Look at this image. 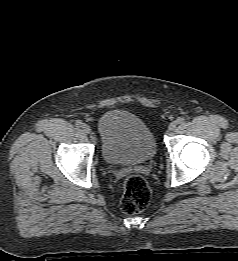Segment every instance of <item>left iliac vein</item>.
I'll return each instance as SVG.
<instances>
[{"label": "left iliac vein", "instance_id": "left-iliac-vein-1", "mask_svg": "<svg viewBox=\"0 0 238 261\" xmlns=\"http://www.w3.org/2000/svg\"><path fill=\"white\" fill-rule=\"evenodd\" d=\"M177 125H178V123L176 121L171 122L168 126V130L174 131L176 129Z\"/></svg>", "mask_w": 238, "mask_h": 261}]
</instances>
